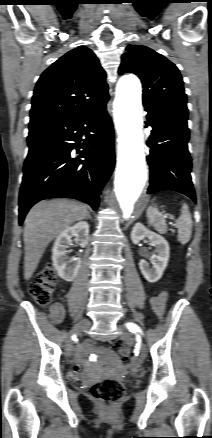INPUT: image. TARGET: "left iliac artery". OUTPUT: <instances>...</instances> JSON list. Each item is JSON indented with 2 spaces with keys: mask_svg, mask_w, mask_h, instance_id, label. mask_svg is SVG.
Wrapping results in <instances>:
<instances>
[{
  "mask_svg": "<svg viewBox=\"0 0 212 438\" xmlns=\"http://www.w3.org/2000/svg\"><path fill=\"white\" fill-rule=\"evenodd\" d=\"M126 327L132 333L139 332V333L143 334L141 328L138 325L134 324V323H127Z\"/></svg>",
  "mask_w": 212,
  "mask_h": 438,
  "instance_id": "obj_1",
  "label": "left iliac artery"
}]
</instances>
